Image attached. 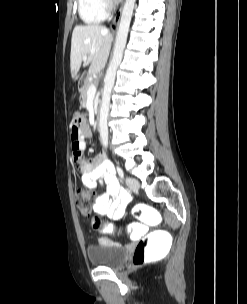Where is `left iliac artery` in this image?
I'll list each match as a JSON object with an SVG mask.
<instances>
[{"label":"left iliac artery","mask_w":247,"mask_h":304,"mask_svg":"<svg viewBox=\"0 0 247 304\" xmlns=\"http://www.w3.org/2000/svg\"><path fill=\"white\" fill-rule=\"evenodd\" d=\"M117 172H118L119 177H120L121 179H123V178H124V172H123V170H122L120 167H118V166H117Z\"/></svg>","instance_id":"left-iliac-artery-1"}]
</instances>
